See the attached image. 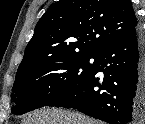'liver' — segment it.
I'll list each match as a JSON object with an SVG mask.
<instances>
[{
  "label": "liver",
  "instance_id": "obj_1",
  "mask_svg": "<svg viewBox=\"0 0 145 124\" xmlns=\"http://www.w3.org/2000/svg\"><path fill=\"white\" fill-rule=\"evenodd\" d=\"M22 124H97L94 120L63 109H44L30 114Z\"/></svg>",
  "mask_w": 145,
  "mask_h": 124
}]
</instances>
